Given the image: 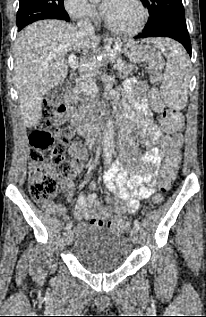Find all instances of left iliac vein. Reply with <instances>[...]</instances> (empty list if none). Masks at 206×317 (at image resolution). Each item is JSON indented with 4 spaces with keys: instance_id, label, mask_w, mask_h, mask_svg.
<instances>
[{
    "instance_id": "left-iliac-vein-1",
    "label": "left iliac vein",
    "mask_w": 206,
    "mask_h": 317,
    "mask_svg": "<svg viewBox=\"0 0 206 317\" xmlns=\"http://www.w3.org/2000/svg\"><path fill=\"white\" fill-rule=\"evenodd\" d=\"M130 238L134 244L138 242V230L135 228L131 230Z\"/></svg>"
}]
</instances>
